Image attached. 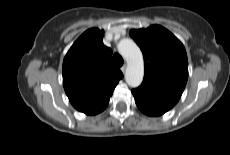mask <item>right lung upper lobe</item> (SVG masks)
Instances as JSON below:
<instances>
[{
	"instance_id": "right-lung-upper-lobe-1",
	"label": "right lung upper lobe",
	"mask_w": 230,
	"mask_h": 155,
	"mask_svg": "<svg viewBox=\"0 0 230 155\" xmlns=\"http://www.w3.org/2000/svg\"><path fill=\"white\" fill-rule=\"evenodd\" d=\"M104 31L92 28L72 45L63 61V85L71 104L86 115H96L123 78L111 61L112 51L102 41Z\"/></svg>"
}]
</instances>
